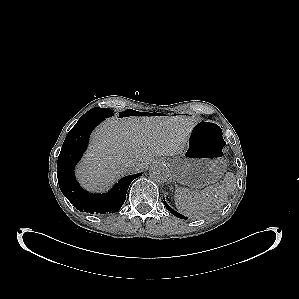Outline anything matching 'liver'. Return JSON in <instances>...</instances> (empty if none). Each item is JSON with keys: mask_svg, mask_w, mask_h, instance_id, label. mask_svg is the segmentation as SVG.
I'll return each mask as SVG.
<instances>
[{"mask_svg": "<svg viewBox=\"0 0 299 299\" xmlns=\"http://www.w3.org/2000/svg\"><path fill=\"white\" fill-rule=\"evenodd\" d=\"M197 122L186 116L109 119L94 131L77 178L86 189L103 191L156 157L182 154ZM132 163L137 167L132 168Z\"/></svg>", "mask_w": 299, "mask_h": 299, "instance_id": "liver-1", "label": "liver"}]
</instances>
